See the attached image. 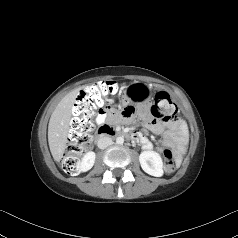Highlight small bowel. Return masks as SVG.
Segmentation results:
<instances>
[{
    "instance_id": "obj_1",
    "label": "small bowel",
    "mask_w": 238,
    "mask_h": 238,
    "mask_svg": "<svg viewBox=\"0 0 238 238\" xmlns=\"http://www.w3.org/2000/svg\"><path fill=\"white\" fill-rule=\"evenodd\" d=\"M140 115L144 119L146 128L156 134L163 135L162 147L159 151L164 152L165 149H174L177 153L182 152L187 145V131L186 127L179 119H175L165 124L160 122L157 118H150L145 106H142L139 110ZM112 113L110 111L99 112L96 122L103 124ZM138 139L145 150L152 149L151 141L139 132H135Z\"/></svg>"
}]
</instances>
